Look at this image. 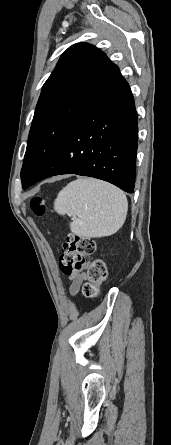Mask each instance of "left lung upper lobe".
Segmentation results:
<instances>
[{
    "label": "left lung upper lobe",
    "instance_id": "obj_1",
    "mask_svg": "<svg viewBox=\"0 0 171 445\" xmlns=\"http://www.w3.org/2000/svg\"><path fill=\"white\" fill-rule=\"evenodd\" d=\"M125 82L119 68L99 49L87 43L69 47L43 85L21 169L22 184L92 106Z\"/></svg>",
    "mask_w": 171,
    "mask_h": 445
}]
</instances>
